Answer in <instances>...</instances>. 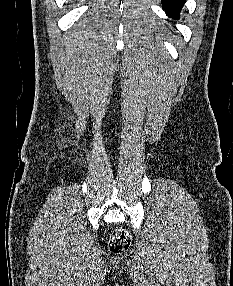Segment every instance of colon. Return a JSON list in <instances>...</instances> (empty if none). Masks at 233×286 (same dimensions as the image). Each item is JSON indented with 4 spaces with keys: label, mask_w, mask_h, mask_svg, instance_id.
I'll list each match as a JSON object with an SVG mask.
<instances>
[{
    "label": "colon",
    "mask_w": 233,
    "mask_h": 286,
    "mask_svg": "<svg viewBox=\"0 0 233 286\" xmlns=\"http://www.w3.org/2000/svg\"><path fill=\"white\" fill-rule=\"evenodd\" d=\"M129 243L130 237L128 233L123 229H116L110 235L109 246L111 250L116 252L122 251L128 247Z\"/></svg>",
    "instance_id": "obj_1"
}]
</instances>
